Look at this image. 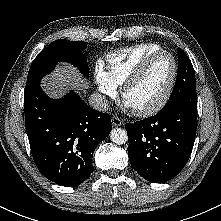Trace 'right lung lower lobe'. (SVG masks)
I'll return each mask as SVG.
<instances>
[{
	"mask_svg": "<svg viewBox=\"0 0 221 221\" xmlns=\"http://www.w3.org/2000/svg\"><path fill=\"white\" fill-rule=\"evenodd\" d=\"M25 124L39 171L50 181L76 186L93 171L92 153L111 130V117L74 92L51 99L36 84L24 93Z\"/></svg>",
	"mask_w": 221,
	"mask_h": 221,
	"instance_id": "right-lung-lower-lobe-1",
	"label": "right lung lower lobe"
}]
</instances>
